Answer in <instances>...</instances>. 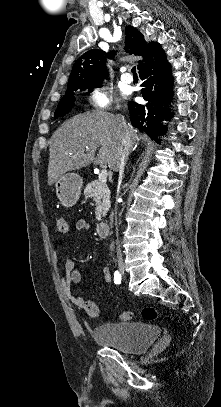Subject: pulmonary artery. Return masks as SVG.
Wrapping results in <instances>:
<instances>
[{
  "instance_id": "1",
  "label": "pulmonary artery",
  "mask_w": 221,
  "mask_h": 407,
  "mask_svg": "<svg viewBox=\"0 0 221 407\" xmlns=\"http://www.w3.org/2000/svg\"><path fill=\"white\" fill-rule=\"evenodd\" d=\"M121 81L123 83H131L132 82V76L129 73H124L121 75Z\"/></svg>"
}]
</instances>
